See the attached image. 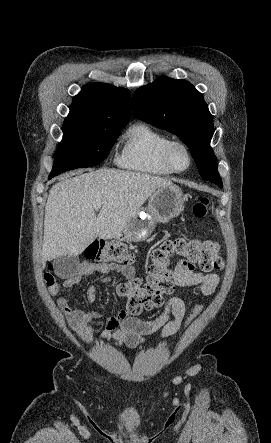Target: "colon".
<instances>
[{"mask_svg": "<svg viewBox=\"0 0 271 443\" xmlns=\"http://www.w3.org/2000/svg\"><path fill=\"white\" fill-rule=\"evenodd\" d=\"M192 211L196 218H206L209 212L208 198H201L193 206ZM86 257L96 262L119 263L130 267L135 262L134 253L125 244L104 240L92 242L86 250ZM173 257L185 258L203 271L220 270L224 266L219 254V245L215 241H201L186 236L163 240L150 252L146 282L141 283L138 278L133 277L117 287L118 294L126 300L130 314L134 315L163 304L164 295L173 289L172 272L169 268ZM45 281L48 286L55 283L50 273L45 274ZM201 310L202 306H197L187 315L186 323H189Z\"/></svg>", "mask_w": 271, "mask_h": 443, "instance_id": "1", "label": "colon"}]
</instances>
